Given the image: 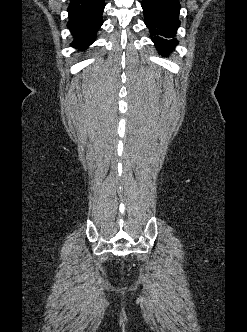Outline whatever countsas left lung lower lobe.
<instances>
[{"label":"left lung lower lobe","mask_w":247,"mask_h":332,"mask_svg":"<svg viewBox=\"0 0 247 332\" xmlns=\"http://www.w3.org/2000/svg\"><path fill=\"white\" fill-rule=\"evenodd\" d=\"M144 23L150 30L151 40L159 52L170 51L178 44L176 35L180 26L179 0H142Z\"/></svg>","instance_id":"0a47b994"}]
</instances>
